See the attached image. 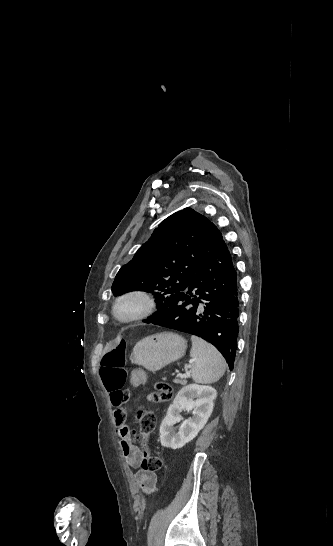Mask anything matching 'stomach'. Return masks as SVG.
<instances>
[{
    "mask_svg": "<svg viewBox=\"0 0 333 546\" xmlns=\"http://www.w3.org/2000/svg\"><path fill=\"white\" fill-rule=\"evenodd\" d=\"M186 347V340L176 333H157L140 340L134 346L130 360L148 371L157 372L180 359Z\"/></svg>",
    "mask_w": 333,
    "mask_h": 546,
    "instance_id": "1",
    "label": "stomach"
}]
</instances>
